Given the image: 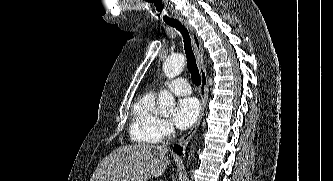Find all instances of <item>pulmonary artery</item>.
I'll return each instance as SVG.
<instances>
[{"label": "pulmonary artery", "instance_id": "1", "mask_svg": "<svg viewBox=\"0 0 333 181\" xmlns=\"http://www.w3.org/2000/svg\"><path fill=\"white\" fill-rule=\"evenodd\" d=\"M168 86L174 94L179 96H186L191 93L189 84L183 79H177Z\"/></svg>", "mask_w": 333, "mask_h": 181}]
</instances>
